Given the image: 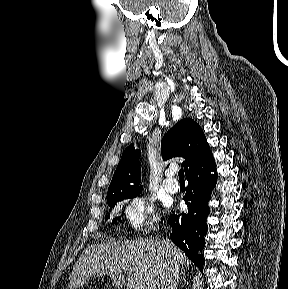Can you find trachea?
Here are the masks:
<instances>
[{
  "label": "trachea",
  "instance_id": "1",
  "mask_svg": "<svg viewBox=\"0 0 288 289\" xmlns=\"http://www.w3.org/2000/svg\"><path fill=\"white\" fill-rule=\"evenodd\" d=\"M178 176H179L180 181H184V170L183 169L179 170Z\"/></svg>",
  "mask_w": 288,
  "mask_h": 289
}]
</instances>
